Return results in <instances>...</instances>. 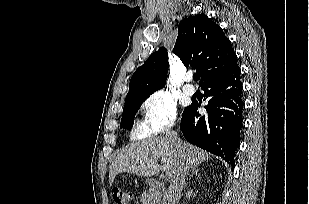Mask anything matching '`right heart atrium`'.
<instances>
[{"label": "right heart atrium", "instance_id": "obj_1", "mask_svg": "<svg viewBox=\"0 0 309 204\" xmlns=\"http://www.w3.org/2000/svg\"><path fill=\"white\" fill-rule=\"evenodd\" d=\"M142 121L138 135L149 137L166 132L177 118L175 103L162 93L151 94L141 105Z\"/></svg>", "mask_w": 309, "mask_h": 204}]
</instances>
